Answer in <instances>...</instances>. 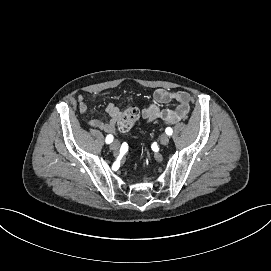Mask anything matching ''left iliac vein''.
<instances>
[{
	"instance_id": "4c4485c4",
	"label": "left iliac vein",
	"mask_w": 271,
	"mask_h": 271,
	"mask_svg": "<svg viewBox=\"0 0 271 271\" xmlns=\"http://www.w3.org/2000/svg\"><path fill=\"white\" fill-rule=\"evenodd\" d=\"M160 143L164 146L168 145L169 137L166 134L160 136Z\"/></svg>"
}]
</instances>
